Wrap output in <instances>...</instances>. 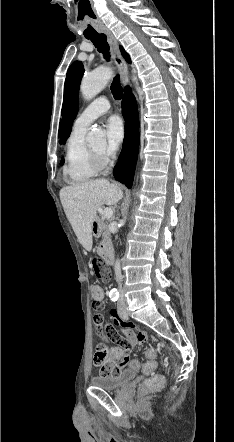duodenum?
I'll return each instance as SVG.
<instances>
[{"label": "duodenum", "mask_w": 234, "mask_h": 442, "mask_svg": "<svg viewBox=\"0 0 234 442\" xmlns=\"http://www.w3.org/2000/svg\"><path fill=\"white\" fill-rule=\"evenodd\" d=\"M102 224L101 223H95L93 226V233L94 235H99L102 231ZM100 254L103 258V260L108 264L111 265L114 262V257L111 251L107 247H102L100 250Z\"/></svg>", "instance_id": "duodenum-1"}]
</instances>
